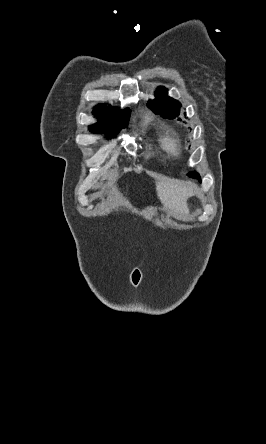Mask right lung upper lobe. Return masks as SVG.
Segmentation results:
<instances>
[{
  "label": "right lung upper lobe",
  "mask_w": 266,
  "mask_h": 444,
  "mask_svg": "<svg viewBox=\"0 0 266 444\" xmlns=\"http://www.w3.org/2000/svg\"><path fill=\"white\" fill-rule=\"evenodd\" d=\"M103 106H104V105H99V106L96 107L95 110H97V109H99V108H101V107H103ZM95 110H94V111H95Z\"/></svg>",
  "instance_id": "cb5924a9"
}]
</instances>
